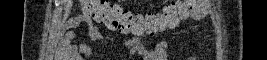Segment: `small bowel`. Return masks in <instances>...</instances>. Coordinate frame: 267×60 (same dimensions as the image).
<instances>
[{"mask_svg": "<svg viewBox=\"0 0 267 60\" xmlns=\"http://www.w3.org/2000/svg\"><path fill=\"white\" fill-rule=\"evenodd\" d=\"M207 12V1L189 0L183 6V15L181 20L189 19L191 21H199L206 16ZM79 26H83L86 29L88 38L91 41H101L105 38V36L101 33L98 26L89 16L80 14L67 19L63 33L64 47L74 54L81 56H89L92 53V49L88 44H72V41L75 39L76 36L75 28ZM184 29L189 32H195V27L192 24H186ZM145 38V35L140 34L134 39L126 41L124 44L127 47L129 53L132 55L139 56L143 60H166V49L168 46L166 37L163 35L156 36V41L152 48H149L147 46ZM189 59L195 60L196 57L190 56Z\"/></svg>", "mask_w": 267, "mask_h": 60, "instance_id": "obj_1", "label": "small bowel"}]
</instances>
